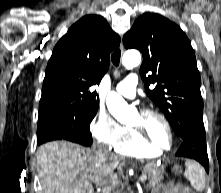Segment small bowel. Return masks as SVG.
<instances>
[{
	"label": "small bowel",
	"instance_id": "c3829d8e",
	"mask_svg": "<svg viewBox=\"0 0 221 193\" xmlns=\"http://www.w3.org/2000/svg\"><path fill=\"white\" fill-rule=\"evenodd\" d=\"M187 188L182 184H167L157 187L152 193H186Z\"/></svg>",
	"mask_w": 221,
	"mask_h": 193
}]
</instances>
